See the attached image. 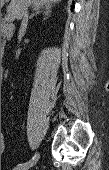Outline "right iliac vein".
<instances>
[{
  "mask_svg": "<svg viewBox=\"0 0 109 170\" xmlns=\"http://www.w3.org/2000/svg\"><path fill=\"white\" fill-rule=\"evenodd\" d=\"M30 167L28 166H24V165H20L15 167L13 170H28Z\"/></svg>",
  "mask_w": 109,
  "mask_h": 170,
  "instance_id": "63e3f726",
  "label": "right iliac vein"
}]
</instances>
